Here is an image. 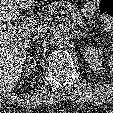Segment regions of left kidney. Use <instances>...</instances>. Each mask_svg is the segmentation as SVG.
<instances>
[{
	"instance_id": "1",
	"label": "left kidney",
	"mask_w": 113,
	"mask_h": 113,
	"mask_svg": "<svg viewBox=\"0 0 113 113\" xmlns=\"http://www.w3.org/2000/svg\"><path fill=\"white\" fill-rule=\"evenodd\" d=\"M84 59L90 69L93 71L102 70V63L104 60L103 50L87 47L83 51Z\"/></svg>"
}]
</instances>
